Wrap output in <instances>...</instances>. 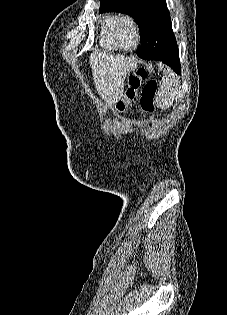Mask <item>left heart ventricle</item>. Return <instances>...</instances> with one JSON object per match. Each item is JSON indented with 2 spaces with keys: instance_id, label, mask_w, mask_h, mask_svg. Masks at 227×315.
<instances>
[{
  "instance_id": "1",
  "label": "left heart ventricle",
  "mask_w": 227,
  "mask_h": 315,
  "mask_svg": "<svg viewBox=\"0 0 227 315\" xmlns=\"http://www.w3.org/2000/svg\"><path fill=\"white\" fill-rule=\"evenodd\" d=\"M121 39L125 46H132L135 42V36L132 27L129 24H124L121 29Z\"/></svg>"
}]
</instances>
